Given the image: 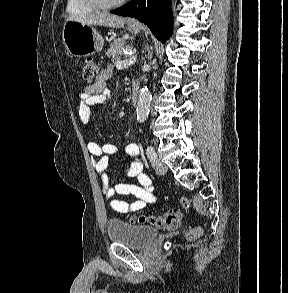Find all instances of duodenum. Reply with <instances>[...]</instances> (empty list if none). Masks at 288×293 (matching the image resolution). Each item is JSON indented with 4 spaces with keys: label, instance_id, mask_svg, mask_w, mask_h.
I'll list each match as a JSON object with an SVG mask.
<instances>
[{
    "label": "duodenum",
    "instance_id": "duodenum-1",
    "mask_svg": "<svg viewBox=\"0 0 288 293\" xmlns=\"http://www.w3.org/2000/svg\"><path fill=\"white\" fill-rule=\"evenodd\" d=\"M139 91H140V85L138 80L134 79L132 82V93H131V102L132 104H137L139 99Z\"/></svg>",
    "mask_w": 288,
    "mask_h": 293
}]
</instances>
